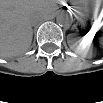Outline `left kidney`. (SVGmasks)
Returning a JSON list of instances; mask_svg holds the SVG:
<instances>
[{
  "label": "left kidney",
  "mask_w": 103,
  "mask_h": 103,
  "mask_svg": "<svg viewBox=\"0 0 103 103\" xmlns=\"http://www.w3.org/2000/svg\"><path fill=\"white\" fill-rule=\"evenodd\" d=\"M68 44L75 52H84V39L78 38L73 34L68 36Z\"/></svg>",
  "instance_id": "1"
}]
</instances>
